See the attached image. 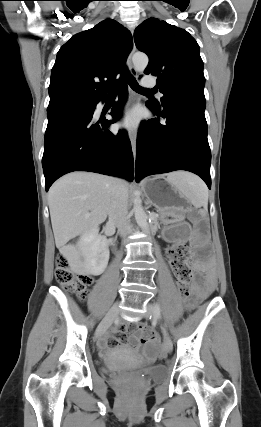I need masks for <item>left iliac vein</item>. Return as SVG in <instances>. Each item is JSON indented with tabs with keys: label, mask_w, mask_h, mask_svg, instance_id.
Listing matches in <instances>:
<instances>
[{
	"label": "left iliac vein",
	"mask_w": 261,
	"mask_h": 427,
	"mask_svg": "<svg viewBox=\"0 0 261 427\" xmlns=\"http://www.w3.org/2000/svg\"><path fill=\"white\" fill-rule=\"evenodd\" d=\"M146 318H150L152 317V320H156V315L154 312V306L151 303H148L146 306V313H145ZM163 343H164V348L167 352H171L172 348H173V344L171 341L170 336L168 335V333L163 330Z\"/></svg>",
	"instance_id": "4c4485c4"
}]
</instances>
